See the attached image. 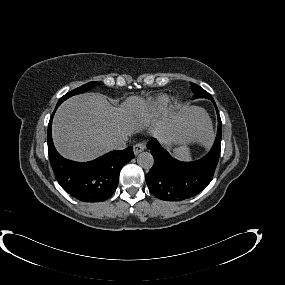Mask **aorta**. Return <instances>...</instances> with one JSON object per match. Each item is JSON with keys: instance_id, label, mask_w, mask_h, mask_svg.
<instances>
[{"instance_id": "762f6f07", "label": "aorta", "mask_w": 285, "mask_h": 285, "mask_svg": "<svg viewBox=\"0 0 285 285\" xmlns=\"http://www.w3.org/2000/svg\"><path fill=\"white\" fill-rule=\"evenodd\" d=\"M137 163L144 169H150L154 164V158L149 152H142L138 155Z\"/></svg>"}]
</instances>
